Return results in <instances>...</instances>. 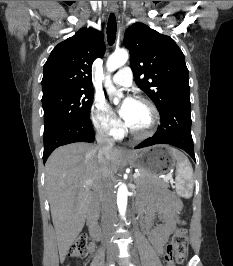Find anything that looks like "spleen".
I'll list each match as a JSON object with an SVG mask.
<instances>
[{"label":"spleen","instance_id":"1","mask_svg":"<svg viewBox=\"0 0 233 266\" xmlns=\"http://www.w3.org/2000/svg\"><path fill=\"white\" fill-rule=\"evenodd\" d=\"M172 154L177 161L176 165V192L179 196L190 198L193 193V168L188 158L176 149Z\"/></svg>","mask_w":233,"mask_h":266}]
</instances>
